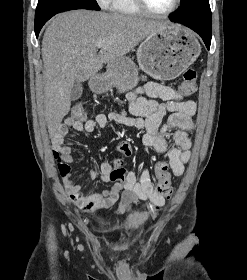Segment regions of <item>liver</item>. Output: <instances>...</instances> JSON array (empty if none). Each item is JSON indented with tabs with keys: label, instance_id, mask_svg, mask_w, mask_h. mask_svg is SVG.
Here are the masks:
<instances>
[{
	"label": "liver",
	"instance_id": "6515ba94",
	"mask_svg": "<svg viewBox=\"0 0 247 280\" xmlns=\"http://www.w3.org/2000/svg\"><path fill=\"white\" fill-rule=\"evenodd\" d=\"M169 22L89 10L58 14L42 40L45 118L52 136L71 106L75 82L93 77ZM101 43L99 53L97 44Z\"/></svg>",
	"mask_w": 247,
	"mask_h": 280
}]
</instances>
